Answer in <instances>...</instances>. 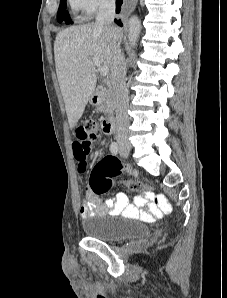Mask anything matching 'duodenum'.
<instances>
[{"instance_id":"duodenum-1","label":"duodenum","mask_w":227,"mask_h":298,"mask_svg":"<svg viewBox=\"0 0 227 298\" xmlns=\"http://www.w3.org/2000/svg\"><path fill=\"white\" fill-rule=\"evenodd\" d=\"M91 103L96 105L99 102L98 92H93L91 95ZM102 129L105 134H111L116 129V118L114 115L108 116L102 123Z\"/></svg>"}]
</instances>
